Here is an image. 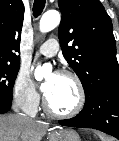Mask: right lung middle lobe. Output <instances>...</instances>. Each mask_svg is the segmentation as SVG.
<instances>
[{
  "mask_svg": "<svg viewBox=\"0 0 119 141\" xmlns=\"http://www.w3.org/2000/svg\"><path fill=\"white\" fill-rule=\"evenodd\" d=\"M19 67V63H0V100L12 102V89Z\"/></svg>",
  "mask_w": 119,
  "mask_h": 141,
  "instance_id": "dd1d6c3e",
  "label": "right lung middle lobe"
}]
</instances>
